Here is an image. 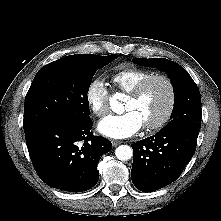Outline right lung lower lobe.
Returning <instances> with one entry per match:
<instances>
[{
    "mask_svg": "<svg viewBox=\"0 0 221 221\" xmlns=\"http://www.w3.org/2000/svg\"><path fill=\"white\" fill-rule=\"evenodd\" d=\"M86 122L54 120L25 133L27 148L38 176L47 185L67 192L91 189L99 179L100 156L112 149L104 137L92 135Z\"/></svg>",
    "mask_w": 221,
    "mask_h": 221,
    "instance_id": "obj_1",
    "label": "right lung lower lobe"
}]
</instances>
